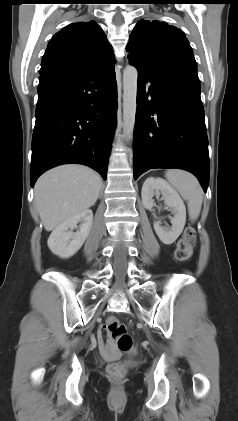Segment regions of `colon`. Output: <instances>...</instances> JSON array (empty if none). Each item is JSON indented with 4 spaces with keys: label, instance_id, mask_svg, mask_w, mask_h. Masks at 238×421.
<instances>
[{
    "label": "colon",
    "instance_id": "obj_1",
    "mask_svg": "<svg viewBox=\"0 0 238 421\" xmlns=\"http://www.w3.org/2000/svg\"><path fill=\"white\" fill-rule=\"evenodd\" d=\"M196 233L191 227L186 228L179 238L175 250V258L178 261L190 259L195 245ZM106 330L116 343L121 352H129L132 349L133 341L126 326L118 319L111 317L105 325ZM108 374L116 379L123 377L125 369L120 363H111L107 368Z\"/></svg>",
    "mask_w": 238,
    "mask_h": 421
}]
</instances>
